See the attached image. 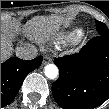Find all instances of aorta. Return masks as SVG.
I'll use <instances>...</instances> for the list:
<instances>
[{
	"label": "aorta",
	"instance_id": "aorta-1",
	"mask_svg": "<svg viewBox=\"0 0 109 109\" xmlns=\"http://www.w3.org/2000/svg\"><path fill=\"white\" fill-rule=\"evenodd\" d=\"M58 68L56 65L54 64H48L45 66L44 68V74L47 78L49 79H54L57 77L58 75Z\"/></svg>",
	"mask_w": 109,
	"mask_h": 109
}]
</instances>
